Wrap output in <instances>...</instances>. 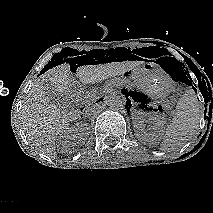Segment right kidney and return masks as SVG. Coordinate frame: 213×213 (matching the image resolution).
<instances>
[{
  "instance_id": "right-kidney-1",
  "label": "right kidney",
  "mask_w": 213,
  "mask_h": 213,
  "mask_svg": "<svg viewBox=\"0 0 213 213\" xmlns=\"http://www.w3.org/2000/svg\"><path fill=\"white\" fill-rule=\"evenodd\" d=\"M88 135L89 133L87 131V127L85 124H83V125H77L70 128L69 130L65 131L63 135H61L60 137H62L63 139H69V138L85 139L86 137H88Z\"/></svg>"
}]
</instances>
